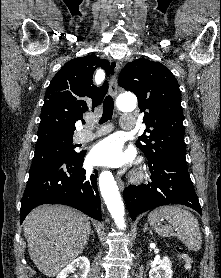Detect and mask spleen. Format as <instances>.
I'll use <instances>...</instances> for the list:
<instances>
[{
	"instance_id": "3e777b00",
	"label": "spleen",
	"mask_w": 221,
	"mask_h": 278,
	"mask_svg": "<svg viewBox=\"0 0 221 278\" xmlns=\"http://www.w3.org/2000/svg\"><path fill=\"white\" fill-rule=\"evenodd\" d=\"M166 219L170 225L157 226L158 219ZM148 222L162 237H177L188 249L198 251L202 237L195 216L179 206H162L148 215Z\"/></svg>"
}]
</instances>
